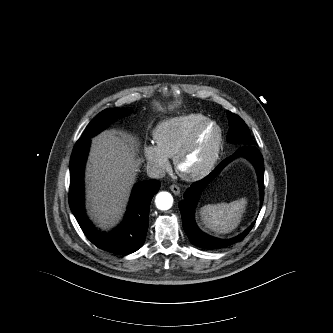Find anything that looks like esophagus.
<instances>
[{"instance_id":"1","label":"esophagus","mask_w":333,"mask_h":333,"mask_svg":"<svg viewBox=\"0 0 333 333\" xmlns=\"http://www.w3.org/2000/svg\"><path fill=\"white\" fill-rule=\"evenodd\" d=\"M170 189H171V191H172L175 195H179V194H180V188H179L177 185L172 184V185L170 186Z\"/></svg>"}]
</instances>
